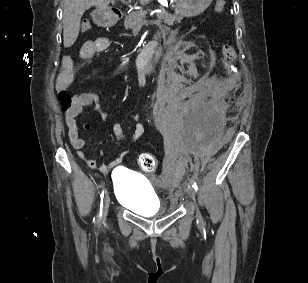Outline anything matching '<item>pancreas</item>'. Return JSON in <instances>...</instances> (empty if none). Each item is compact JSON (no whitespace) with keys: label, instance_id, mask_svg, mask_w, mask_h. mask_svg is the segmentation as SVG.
Returning a JSON list of instances; mask_svg holds the SVG:
<instances>
[{"label":"pancreas","instance_id":"pancreas-1","mask_svg":"<svg viewBox=\"0 0 308 283\" xmlns=\"http://www.w3.org/2000/svg\"><path fill=\"white\" fill-rule=\"evenodd\" d=\"M146 11H134L129 13L124 20V26L126 29H134L136 27L140 28L145 20ZM158 21L166 23L168 25H173L175 23H180L182 20L181 16L172 15L165 10H162L157 14Z\"/></svg>","mask_w":308,"mask_h":283}]
</instances>
